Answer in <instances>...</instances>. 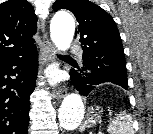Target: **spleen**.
Instances as JSON below:
<instances>
[{"label": "spleen", "instance_id": "3e777b00", "mask_svg": "<svg viewBox=\"0 0 153 134\" xmlns=\"http://www.w3.org/2000/svg\"><path fill=\"white\" fill-rule=\"evenodd\" d=\"M85 127L82 126L81 130ZM109 134H134L132 116L125 110L120 111L107 127Z\"/></svg>", "mask_w": 153, "mask_h": 134}]
</instances>
